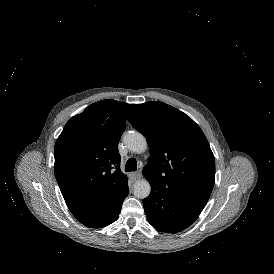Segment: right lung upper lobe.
Here are the masks:
<instances>
[{"mask_svg":"<svg viewBox=\"0 0 274 274\" xmlns=\"http://www.w3.org/2000/svg\"><path fill=\"white\" fill-rule=\"evenodd\" d=\"M133 104L107 99L65 125L55 144L54 171L64 200L83 224L101 220L128 185L118 141Z\"/></svg>","mask_w":274,"mask_h":274,"instance_id":"1","label":"right lung upper lobe"}]
</instances>
